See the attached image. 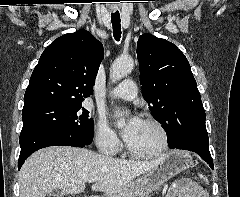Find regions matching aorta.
<instances>
[{"label": "aorta", "mask_w": 240, "mask_h": 197, "mask_svg": "<svg viewBox=\"0 0 240 197\" xmlns=\"http://www.w3.org/2000/svg\"><path fill=\"white\" fill-rule=\"evenodd\" d=\"M133 59L131 57H120L117 58L110 69V79L112 82H117L127 76L133 69ZM125 125L123 119L118 120V128H122Z\"/></svg>", "instance_id": "aorta-1"}]
</instances>
